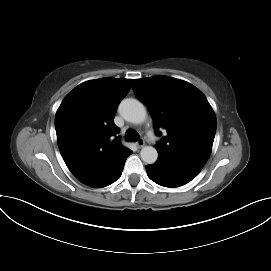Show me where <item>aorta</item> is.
<instances>
[{"label":"aorta","mask_w":271,"mask_h":271,"mask_svg":"<svg viewBox=\"0 0 271 271\" xmlns=\"http://www.w3.org/2000/svg\"><path fill=\"white\" fill-rule=\"evenodd\" d=\"M119 113L128 122L141 124L145 121L147 112L144 105L136 99H125L119 105ZM141 159L147 164H153L158 158L157 150L152 146H145L140 152Z\"/></svg>","instance_id":"762f6f07"}]
</instances>
